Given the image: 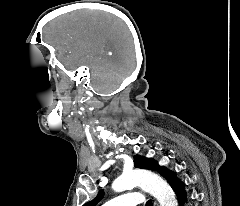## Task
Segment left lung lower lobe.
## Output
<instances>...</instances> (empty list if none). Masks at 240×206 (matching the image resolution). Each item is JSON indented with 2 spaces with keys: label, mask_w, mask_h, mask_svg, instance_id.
<instances>
[{
  "label": "left lung lower lobe",
  "mask_w": 240,
  "mask_h": 206,
  "mask_svg": "<svg viewBox=\"0 0 240 206\" xmlns=\"http://www.w3.org/2000/svg\"><path fill=\"white\" fill-rule=\"evenodd\" d=\"M163 176L167 179L168 183L170 184V186H171V187L173 188V190L175 191L180 206H183V203H184L185 200H186V195H185V190H184V184H183V182H181V181L176 177V175H175L173 172L169 171V170H166V172L164 173Z\"/></svg>",
  "instance_id": "1"
}]
</instances>
